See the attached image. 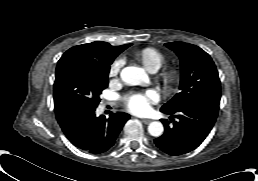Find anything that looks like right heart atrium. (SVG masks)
Segmentation results:
<instances>
[{"instance_id": "right-heart-atrium-1", "label": "right heart atrium", "mask_w": 258, "mask_h": 181, "mask_svg": "<svg viewBox=\"0 0 258 181\" xmlns=\"http://www.w3.org/2000/svg\"><path fill=\"white\" fill-rule=\"evenodd\" d=\"M123 64L124 60L122 58L116 59L110 66L109 75L111 77H117L121 71Z\"/></svg>"}]
</instances>
